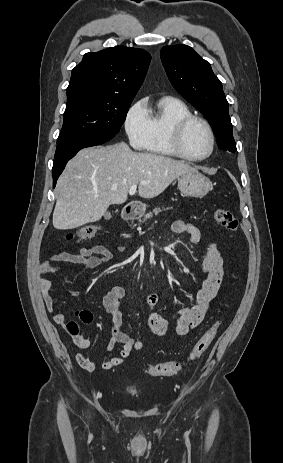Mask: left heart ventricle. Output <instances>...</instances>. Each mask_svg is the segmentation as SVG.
I'll return each instance as SVG.
<instances>
[{"mask_svg":"<svg viewBox=\"0 0 283 463\" xmlns=\"http://www.w3.org/2000/svg\"><path fill=\"white\" fill-rule=\"evenodd\" d=\"M185 152L193 157L206 155L210 150V137L206 128L199 122L192 123L183 137Z\"/></svg>","mask_w":283,"mask_h":463,"instance_id":"left-heart-ventricle-1","label":"left heart ventricle"}]
</instances>
